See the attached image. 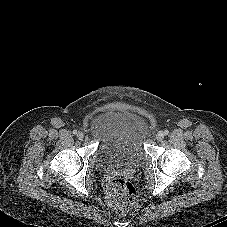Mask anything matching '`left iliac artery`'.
Instances as JSON below:
<instances>
[{
  "label": "left iliac artery",
  "instance_id": "44dca946",
  "mask_svg": "<svg viewBox=\"0 0 227 227\" xmlns=\"http://www.w3.org/2000/svg\"><path fill=\"white\" fill-rule=\"evenodd\" d=\"M164 133H165V135H168L169 134V131L168 130H165Z\"/></svg>",
  "mask_w": 227,
  "mask_h": 227
}]
</instances>
